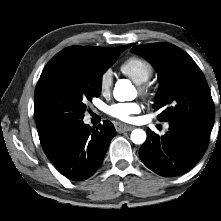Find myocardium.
Returning a JSON list of instances; mask_svg holds the SVG:
<instances>
[{
	"mask_svg": "<svg viewBox=\"0 0 221 221\" xmlns=\"http://www.w3.org/2000/svg\"><path fill=\"white\" fill-rule=\"evenodd\" d=\"M140 92H141L144 96H148V95H149L148 87L145 86V85H141V86H140Z\"/></svg>",
	"mask_w": 221,
	"mask_h": 221,
	"instance_id": "f54148a6",
	"label": "myocardium"
}]
</instances>
